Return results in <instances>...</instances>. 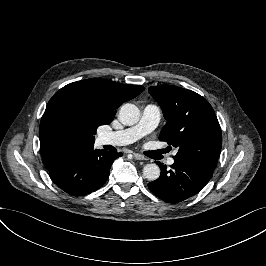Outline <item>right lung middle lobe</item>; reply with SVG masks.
Returning <instances> with one entry per match:
<instances>
[{
    "instance_id": "dd1d6c3e",
    "label": "right lung middle lobe",
    "mask_w": 266,
    "mask_h": 266,
    "mask_svg": "<svg viewBox=\"0 0 266 266\" xmlns=\"http://www.w3.org/2000/svg\"><path fill=\"white\" fill-rule=\"evenodd\" d=\"M76 114L79 117L80 121L89 128L92 134H96V129L102 125V121L96 112L92 109L86 107H78L76 109Z\"/></svg>"
}]
</instances>
